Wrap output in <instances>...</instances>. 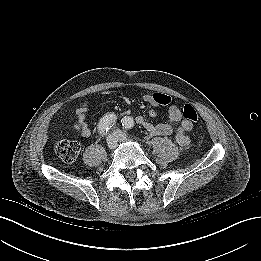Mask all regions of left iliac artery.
<instances>
[{
	"label": "left iliac artery",
	"instance_id": "44dca946",
	"mask_svg": "<svg viewBox=\"0 0 261 261\" xmlns=\"http://www.w3.org/2000/svg\"><path fill=\"white\" fill-rule=\"evenodd\" d=\"M121 123H122L123 128H125L126 130L131 129L134 126V121L130 117H124L121 120Z\"/></svg>",
	"mask_w": 261,
	"mask_h": 261
}]
</instances>
